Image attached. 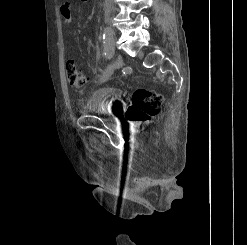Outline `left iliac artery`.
Segmentation results:
<instances>
[{
  "label": "left iliac artery",
  "instance_id": "left-iliac-artery-1",
  "mask_svg": "<svg viewBox=\"0 0 247 245\" xmlns=\"http://www.w3.org/2000/svg\"><path fill=\"white\" fill-rule=\"evenodd\" d=\"M103 44H104V55L105 58H114L116 45L114 31L105 30L102 34Z\"/></svg>",
  "mask_w": 247,
  "mask_h": 245
}]
</instances>
